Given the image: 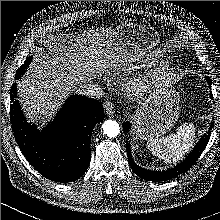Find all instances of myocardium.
<instances>
[{
    "label": "myocardium",
    "instance_id": "obj_1",
    "mask_svg": "<svg viewBox=\"0 0 220 220\" xmlns=\"http://www.w3.org/2000/svg\"><path fill=\"white\" fill-rule=\"evenodd\" d=\"M155 71L150 70L142 76H137L129 79L125 84V91L131 98H140L152 86L155 81Z\"/></svg>",
    "mask_w": 220,
    "mask_h": 220
}]
</instances>
